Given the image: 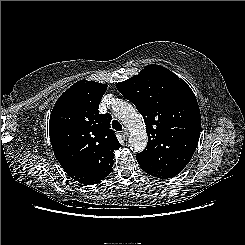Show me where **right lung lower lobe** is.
Segmentation results:
<instances>
[{
	"mask_svg": "<svg viewBox=\"0 0 245 245\" xmlns=\"http://www.w3.org/2000/svg\"><path fill=\"white\" fill-rule=\"evenodd\" d=\"M112 167H113V164L107 168V170L104 172L103 178L106 177V176H108V175L111 173ZM64 170H65V172H66L71 178H73L74 180H76V181L79 182V177H78V175H77V173H76L75 170H73V169H64Z\"/></svg>",
	"mask_w": 245,
	"mask_h": 245,
	"instance_id": "98d812e1",
	"label": "right lung lower lobe"
}]
</instances>
